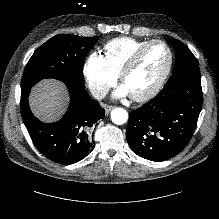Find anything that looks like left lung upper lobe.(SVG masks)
Masks as SVG:
<instances>
[{
    "instance_id": "left-lung-upper-lobe-1",
    "label": "left lung upper lobe",
    "mask_w": 219,
    "mask_h": 219,
    "mask_svg": "<svg viewBox=\"0 0 219 219\" xmlns=\"http://www.w3.org/2000/svg\"><path fill=\"white\" fill-rule=\"evenodd\" d=\"M167 42L174 48L176 55L172 76L164 87L185 76H200L198 61L189 48L176 39H168Z\"/></svg>"
}]
</instances>
